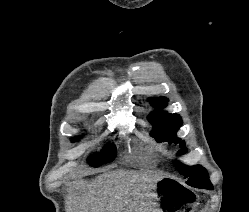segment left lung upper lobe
Here are the masks:
<instances>
[{
	"label": "left lung upper lobe",
	"mask_w": 249,
	"mask_h": 212,
	"mask_svg": "<svg viewBox=\"0 0 249 212\" xmlns=\"http://www.w3.org/2000/svg\"><path fill=\"white\" fill-rule=\"evenodd\" d=\"M167 101L165 98H155L151 102L152 105L158 107L157 110L152 112L148 117V120L153 125L151 135L154 136L158 142H168L169 144L180 143L182 149L178 154H184L187 151L185 143L176 137V132L182 125V119L178 114H168L162 111ZM176 165L179 172L188 178L186 182L188 185L195 187L211 183L207 171L202 166L195 165L185 167L179 162H176Z\"/></svg>",
	"instance_id": "left-lung-upper-lobe-1"
}]
</instances>
